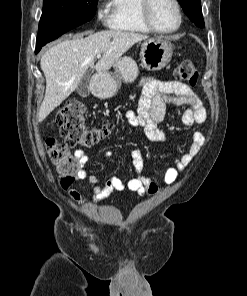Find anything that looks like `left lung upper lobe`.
Listing matches in <instances>:
<instances>
[{"instance_id": "5c2ea615", "label": "left lung upper lobe", "mask_w": 247, "mask_h": 296, "mask_svg": "<svg viewBox=\"0 0 247 296\" xmlns=\"http://www.w3.org/2000/svg\"><path fill=\"white\" fill-rule=\"evenodd\" d=\"M185 14L197 26L204 27L200 0H178Z\"/></svg>"}]
</instances>
